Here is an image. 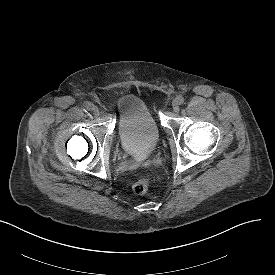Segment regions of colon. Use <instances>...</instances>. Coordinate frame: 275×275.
<instances>
[{"instance_id":"5ec220e1","label":"colon","mask_w":275,"mask_h":275,"mask_svg":"<svg viewBox=\"0 0 275 275\" xmlns=\"http://www.w3.org/2000/svg\"><path fill=\"white\" fill-rule=\"evenodd\" d=\"M151 184V180L149 177H143L139 180H137L133 186H132V190L136 195H144L148 192L149 187Z\"/></svg>"}]
</instances>
